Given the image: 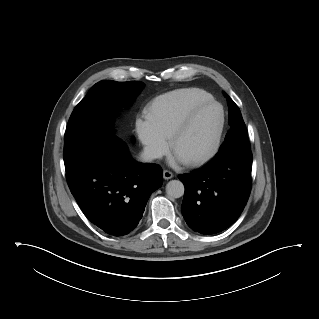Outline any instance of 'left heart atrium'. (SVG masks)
Listing matches in <instances>:
<instances>
[{"label": "left heart atrium", "mask_w": 319, "mask_h": 319, "mask_svg": "<svg viewBox=\"0 0 319 319\" xmlns=\"http://www.w3.org/2000/svg\"><path fill=\"white\" fill-rule=\"evenodd\" d=\"M182 162H183V160L181 158H179L176 154L171 159V163L173 165H177V164H180Z\"/></svg>", "instance_id": "obj_1"}]
</instances>
